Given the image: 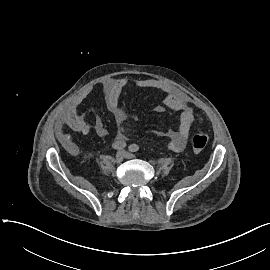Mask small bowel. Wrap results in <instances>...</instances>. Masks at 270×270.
I'll use <instances>...</instances> for the list:
<instances>
[{"mask_svg": "<svg viewBox=\"0 0 270 270\" xmlns=\"http://www.w3.org/2000/svg\"><path fill=\"white\" fill-rule=\"evenodd\" d=\"M127 84L128 81L125 78L107 80L103 84L106 107L114 117L118 129L116 137L119 140H124L127 136L125 123L128 113L120 106V96ZM137 86L163 92V104L155 108L156 112L162 113L166 109L181 112L178 128L168 130L166 136L170 139L168 146L171 151L176 153L183 151L195 120L194 111L189 104L188 97L180 90L154 79L139 81ZM86 94L87 92L84 91L75 98L64 114L63 124L72 132L88 134L93 129L97 136L105 138L109 132L104 123L100 120L89 121L79 111V105L86 97ZM69 139L70 135L65 134L64 140L68 141Z\"/></svg>", "mask_w": 270, "mask_h": 270, "instance_id": "c3829d8e", "label": "small bowel"}]
</instances>
